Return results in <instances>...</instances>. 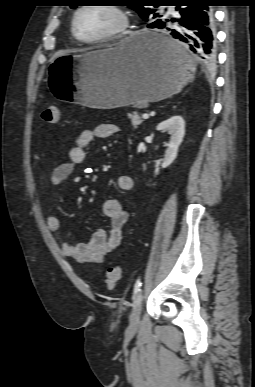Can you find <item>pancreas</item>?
Returning <instances> with one entry per match:
<instances>
[{
    "instance_id": "pancreas-1",
    "label": "pancreas",
    "mask_w": 255,
    "mask_h": 387,
    "mask_svg": "<svg viewBox=\"0 0 255 387\" xmlns=\"http://www.w3.org/2000/svg\"><path fill=\"white\" fill-rule=\"evenodd\" d=\"M132 126L136 129L142 124L143 120L140 118L137 112L130 115Z\"/></svg>"
}]
</instances>
